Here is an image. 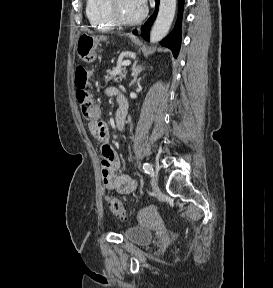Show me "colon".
I'll list each match as a JSON object with an SVG mask.
<instances>
[{"label": "colon", "instance_id": "obj_1", "mask_svg": "<svg viewBox=\"0 0 273 288\" xmlns=\"http://www.w3.org/2000/svg\"><path fill=\"white\" fill-rule=\"evenodd\" d=\"M77 52L83 61H93L95 58L94 42L89 36L80 37L77 46ZM88 71L79 66L75 70V85L77 88L76 98L79 103L83 117L92 122L97 121L100 115L99 107L93 101L90 93L86 90L88 84ZM107 203L110 211L119 219H127V213L121 201L116 197H108Z\"/></svg>", "mask_w": 273, "mask_h": 288}]
</instances>
